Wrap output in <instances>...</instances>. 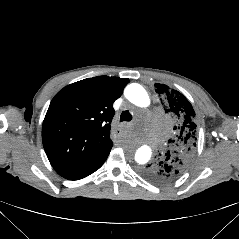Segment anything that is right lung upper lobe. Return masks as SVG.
<instances>
[{"label":"right lung upper lobe","instance_id":"cb5924a9","mask_svg":"<svg viewBox=\"0 0 239 239\" xmlns=\"http://www.w3.org/2000/svg\"><path fill=\"white\" fill-rule=\"evenodd\" d=\"M129 79L97 76L64 87L52 99L42 126L45 153L62 177L112 144L113 103Z\"/></svg>","mask_w":239,"mask_h":239}]
</instances>
